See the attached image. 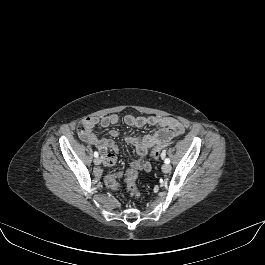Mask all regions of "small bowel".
<instances>
[{
  "label": "small bowel",
  "mask_w": 265,
  "mask_h": 265,
  "mask_svg": "<svg viewBox=\"0 0 265 265\" xmlns=\"http://www.w3.org/2000/svg\"><path fill=\"white\" fill-rule=\"evenodd\" d=\"M125 123L129 126L134 127H144V126H155L158 127V131L153 134L145 135V136H127L126 142L130 145L134 146L136 153L139 156H145L149 153V151L155 146L164 144L169 142L172 138L180 135L183 132L182 125L173 118L163 117V116H134L127 115L125 117ZM90 128L100 125L101 127H109L111 125H115L119 121V117L116 114L106 115L102 117H91L87 120ZM111 138H99L91 131L87 135L81 136L82 139L98 148L102 153L103 162L106 166L111 167L116 162V156L113 152L118 151V146L113 140L114 138L119 137V132L115 129L110 130L109 132ZM108 149L113 152H109ZM131 169H135L137 171H150L151 164L148 161L143 159H137L130 163ZM102 174L101 170H96L95 175L100 177Z\"/></svg>",
  "instance_id": "c3829d8e"
}]
</instances>
